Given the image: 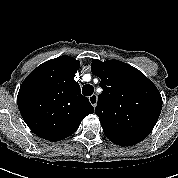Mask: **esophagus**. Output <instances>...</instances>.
<instances>
[{
    "label": "esophagus",
    "mask_w": 178,
    "mask_h": 178,
    "mask_svg": "<svg viewBox=\"0 0 178 178\" xmlns=\"http://www.w3.org/2000/svg\"><path fill=\"white\" fill-rule=\"evenodd\" d=\"M97 101H98L97 95L93 94L89 97V102L93 107H96Z\"/></svg>",
    "instance_id": "34e87169"
}]
</instances>
